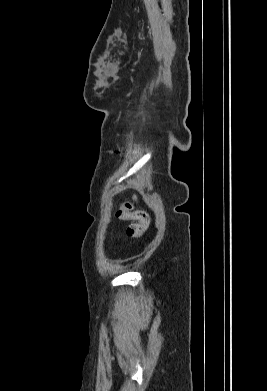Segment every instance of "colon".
Listing matches in <instances>:
<instances>
[{
	"mask_svg": "<svg viewBox=\"0 0 267 391\" xmlns=\"http://www.w3.org/2000/svg\"><path fill=\"white\" fill-rule=\"evenodd\" d=\"M116 216L120 220L132 221L126 230V233L130 238H140L147 230L150 222L147 212L143 210H134L133 201L123 202L120 205Z\"/></svg>",
	"mask_w": 267,
	"mask_h": 391,
	"instance_id": "obj_1",
	"label": "colon"
}]
</instances>
